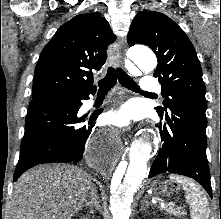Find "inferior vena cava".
<instances>
[{"instance_id": "602c4592", "label": "inferior vena cava", "mask_w": 221, "mask_h": 219, "mask_svg": "<svg viewBox=\"0 0 221 219\" xmlns=\"http://www.w3.org/2000/svg\"><path fill=\"white\" fill-rule=\"evenodd\" d=\"M88 202H89V205L98 207L99 198H98V196L96 195L95 192H91Z\"/></svg>"}]
</instances>
